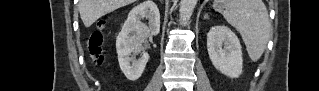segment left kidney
Instances as JSON below:
<instances>
[{"label": "left kidney", "mask_w": 319, "mask_h": 91, "mask_svg": "<svg viewBox=\"0 0 319 91\" xmlns=\"http://www.w3.org/2000/svg\"><path fill=\"white\" fill-rule=\"evenodd\" d=\"M207 50L214 67L230 78L242 74V50L238 37L226 26H213L207 34Z\"/></svg>", "instance_id": "left-kidney-1"}]
</instances>
